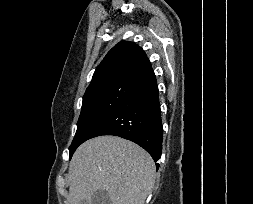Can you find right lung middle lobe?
<instances>
[{"instance_id":"1","label":"right lung middle lobe","mask_w":253,"mask_h":204,"mask_svg":"<svg viewBox=\"0 0 253 204\" xmlns=\"http://www.w3.org/2000/svg\"><path fill=\"white\" fill-rule=\"evenodd\" d=\"M138 82L119 81L85 92L77 131L69 147L71 159L77 147L90 139L98 127L131 93Z\"/></svg>"}]
</instances>
